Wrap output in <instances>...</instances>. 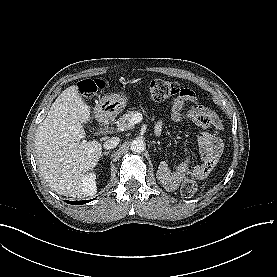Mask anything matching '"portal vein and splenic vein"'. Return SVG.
Here are the masks:
<instances>
[{"mask_svg":"<svg viewBox=\"0 0 277 277\" xmlns=\"http://www.w3.org/2000/svg\"><path fill=\"white\" fill-rule=\"evenodd\" d=\"M142 119V115L140 113H136L130 120H129V125L133 126L134 124L140 122ZM124 131V128H117V132H122Z\"/></svg>","mask_w":277,"mask_h":277,"instance_id":"1","label":"portal vein and splenic vein"}]
</instances>
